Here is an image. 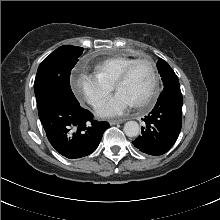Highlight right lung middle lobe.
Returning <instances> with one entry per match:
<instances>
[{"label": "right lung middle lobe", "mask_w": 220, "mask_h": 220, "mask_svg": "<svg viewBox=\"0 0 220 220\" xmlns=\"http://www.w3.org/2000/svg\"><path fill=\"white\" fill-rule=\"evenodd\" d=\"M83 50L81 47L64 45L41 62L34 82L38 108L55 96L77 100L70 87V74Z\"/></svg>", "instance_id": "1"}]
</instances>
